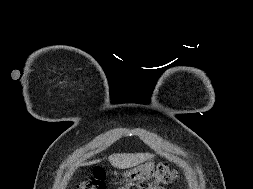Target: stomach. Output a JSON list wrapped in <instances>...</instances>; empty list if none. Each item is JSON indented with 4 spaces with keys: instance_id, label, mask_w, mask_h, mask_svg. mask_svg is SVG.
Returning a JSON list of instances; mask_svg holds the SVG:
<instances>
[{
    "instance_id": "obj_1",
    "label": "stomach",
    "mask_w": 253,
    "mask_h": 189,
    "mask_svg": "<svg viewBox=\"0 0 253 189\" xmlns=\"http://www.w3.org/2000/svg\"><path fill=\"white\" fill-rule=\"evenodd\" d=\"M153 168H154V164L152 162H148L136 168L127 170L126 172L123 173V177L126 180V182H133V181L141 179L144 175L149 173Z\"/></svg>"
}]
</instances>
